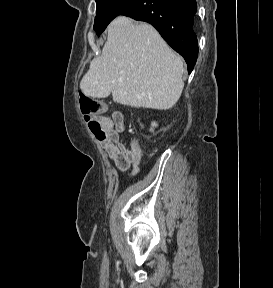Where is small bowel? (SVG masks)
Segmentation results:
<instances>
[{"mask_svg": "<svg viewBox=\"0 0 273 288\" xmlns=\"http://www.w3.org/2000/svg\"><path fill=\"white\" fill-rule=\"evenodd\" d=\"M99 122L106 134L105 137L98 138L103 149L119 170L126 171L131 168L133 174L137 173L142 151L137 142H133L130 148L120 142V133L124 130L123 115L120 112H114L112 116L100 117Z\"/></svg>", "mask_w": 273, "mask_h": 288, "instance_id": "c3829d8e", "label": "small bowel"}]
</instances>
